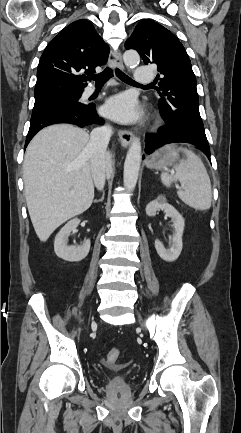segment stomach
<instances>
[{
  "label": "stomach",
  "instance_id": "0dacf381",
  "mask_svg": "<svg viewBox=\"0 0 241 433\" xmlns=\"http://www.w3.org/2000/svg\"><path fill=\"white\" fill-rule=\"evenodd\" d=\"M178 160V153L172 146H164L157 150L147 162V167L154 170H168Z\"/></svg>",
  "mask_w": 241,
  "mask_h": 433
}]
</instances>
